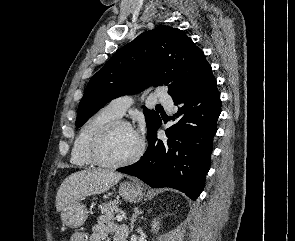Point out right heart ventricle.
<instances>
[{
    "mask_svg": "<svg viewBox=\"0 0 295 241\" xmlns=\"http://www.w3.org/2000/svg\"><path fill=\"white\" fill-rule=\"evenodd\" d=\"M118 118L119 116L106 107L92 115L83 124L75 138L70 157L71 163L77 167L94 166L96 163L90 155L91 143L105 125Z\"/></svg>",
    "mask_w": 295,
    "mask_h": 241,
    "instance_id": "obj_1",
    "label": "right heart ventricle"
}]
</instances>
